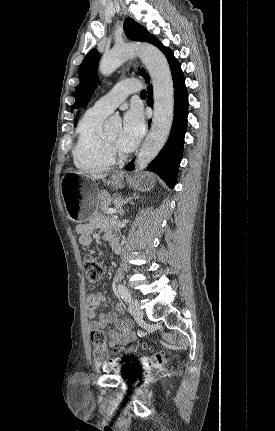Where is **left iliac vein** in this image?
<instances>
[{
    "label": "left iliac vein",
    "instance_id": "1",
    "mask_svg": "<svg viewBox=\"0 0 275 431\" xmlns=\"http://www.w3.org/2000/svg\"><path fill=\"white\" fill-rule=\"evenodd\" d=\"M129 311L131 313V315L136 319V320H142L144 313L140 307V303L137 299H132L129 302Z\"/></svg>",
    "mask_w": 275,
    "mask_h": 431
}]
</instances>
